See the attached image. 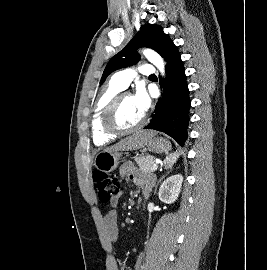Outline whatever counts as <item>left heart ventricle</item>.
Here are the masks:
<instances>
[{
  "mask_svg": "<svg viewBox=\"0 0 267 270\" xmlns=\"http://www.w3.org/2000/svg\"><path fill=\"white\" fill-rule=\"evenodd\" d=\"M134 103L133 97L123 99L117 112V122L121 127L129 128L136 125L143 117Z\"/></svg>",
  "mask_w": 267,
  "mask_h": 270,
  "instance_id": "obj_1",
  "label": "left heart ventricle"
}]
</instances>
